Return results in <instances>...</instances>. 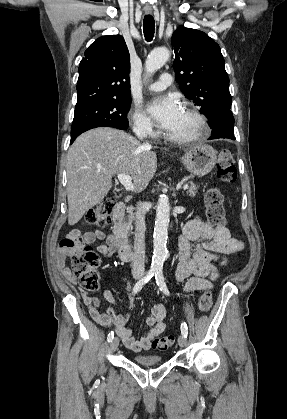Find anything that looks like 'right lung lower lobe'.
Listing matches in <instances>:
<instances>
[{
	"label": "right lung lower lobe",
	"mask_w": 287,
	"mask_h": 419,
	"mask_svg": "<svg viewBox=\"0 0 287 419\" xmlns=\"http://www.w3.org/2000/svg\"><path fill=\"white\" fill-rule=\"evenodd\" d=\"M75 139H76V138H71V143H73Z\"/></svg>",
	"instance_id": "obj_1"
}]
</instances>
